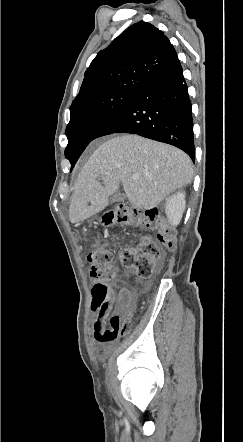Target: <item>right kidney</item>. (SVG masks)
<instances>
[{"label": "right kidney", "instance_id": "right-kidney-1", "mask_svg": "<svg viewBox=\"0 0 243 442\" xmlns=\"http://www.w3.org/2000/svg\"><path fill=\"white\" fill-rule=\"evenodd\" d=\"M185 205V192H178L166 199L165 213L173 226L180 223Z\"/></svg>", "mask_w": 243, "mask_h": 442}]
</instances>
